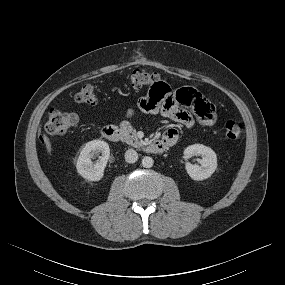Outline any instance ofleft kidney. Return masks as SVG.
Here are the masks:
<instances>
[{
	"mask_svg": "<svg viewBox=\"0 0 285 285\" xmlns=\"http://www.w3.org/2000/svg\"><path fill=\"white\" fill-rule=\"evenodd\" d=\"M186 158L194 155H201L200 166L196 164L186 163V170L193 180H204L209 178L217 168L216 153L210 148L202 144H193L184 150Z\"/></svg>",
	"mask_w": 285,
	"mask_h": 285,
	"instance_id": "left-kidney-1",
	"label": "left kidney"
}]
</instances>
